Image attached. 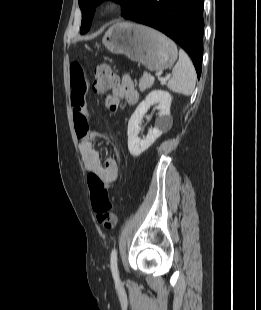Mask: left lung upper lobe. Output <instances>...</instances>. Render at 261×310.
I'll return each instance as SVG.
<instances>
[{"label":"left lung upper lobe","mask_w":261,"mask_h":310,"mask_svg":"<svg viewBox=\"0 0 261 310\" xmlns=\"http://www.w3.org/2000/svg\"><path fill=\"white\" fill-rule=\"evenodd\" d=\"M103 0H79V6L82 11L81 34L86 33L91 26L93 15L96 6ZM124 7V16L127 15L133 8L136 0H115Z\"/></svg>","instance_id":"left-lung-upper-lobe-1"}]
</instances>
